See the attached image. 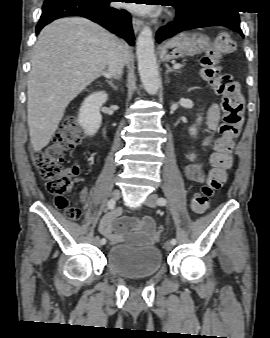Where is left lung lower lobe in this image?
<instances>
[{
  "mask_svg": "<svg viewBox=\"0 0 270 338\" xmlns=\"http://www.w3.org/2000/svg\"><path fill=\"white\" fill-rule=\"evenodd\" d=\"M182 3L185 2H175L173 5L177 11L173 23L158 30L156 40L159 43L182 31L209 26H223L243 35L236 10L227 9L221 3H209L197 8H186Z\"/></svg>",
  "mask_w": 270,
  "mask_h": 338,
  "instance_id": "0a47b994",
  "label": "left lung lower lobe"
}]
</instances>
